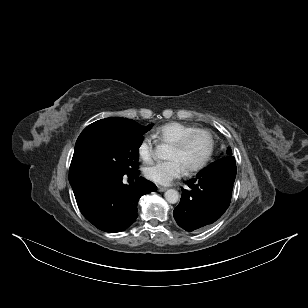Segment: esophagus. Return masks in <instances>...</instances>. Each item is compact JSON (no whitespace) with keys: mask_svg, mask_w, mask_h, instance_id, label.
I'll list each match as a JSON object with an SVG mask.
<instances>
[{"mask_svg":"<svg viewBox=\"0 0 308 308\" xmlns=\"http://www.w3.org/2000/svg\"><path fill=\"white\" fill-rule=\"evenodd\" d=\"M157 189H158L159 192H164V191L167 190L166 187H162V186H158Z\"/></svg>","mask_w":308,"mask_h":308,"instance_id":"34e87169","label":"esophagus"}]
</instances>
